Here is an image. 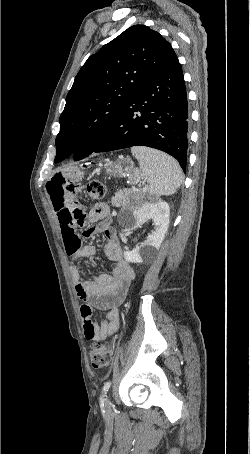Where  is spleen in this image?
Wrapping results in <instances>:
<instances>
[{"instance_id": "3e777b00", "label": "spleen", "mask_w": 250, "mask_h": 454, "mask_svg": "<svg viewBox=\"0 0 250 454\" xmlns=\"http://www.w3.org/2000/svg\"><path fill=\"white\" fill-rule=\"evenodd\" d=\"M131 152L139 161L142 175L148 183L149 194L159 197L172 195L177 191L183 176L174 158L147 147H132Z\"/></svg>"}]
</instances>
